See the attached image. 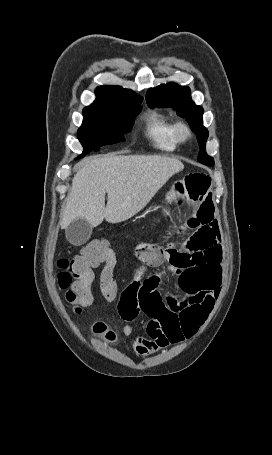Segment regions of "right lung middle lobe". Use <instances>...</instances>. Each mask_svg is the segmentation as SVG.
I'll list each match as a JSON object with an SVG mask.
<instances>
[{
  "label": "right lung middle lobe",
  "instance_id": "right-lung-middle-lobe-1",
  "mask_svg": "<svg viewBox=\"0 0 272 455\" xmlns=\"http://www.w3.org/2000/svg\"><path fill=\"white\" fill-rule=\"evenodd\" d=\"M140 101L112 111L83 110V124L78 139L86 153L99 150L100 146L125 141L123 134L131 131L135 116L140 112Z\"/></svg>",
  "mask_w": 272,
  "mask_h": 455
}]
</instances>
